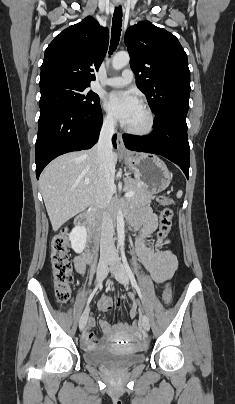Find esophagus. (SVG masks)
<instances>
[{
    "mask_svg": "<svg viewBox=\"0 0 235 404\" xmlns=\"http://www.w3.org/2000/svg\"><path fill=\"white\" fill-rule=\"evenodd\" d=\"M116 142H117V149H118V152L120 154H128L129 153V151L127 150V148L124 145L122 135L120 133L117 134Z\"/></svg>",
    "mask_w": 235,
    "mask_h": 404,
    "instance_id": "obj_1",
    "label": "esophagus"
}]
</instances>
